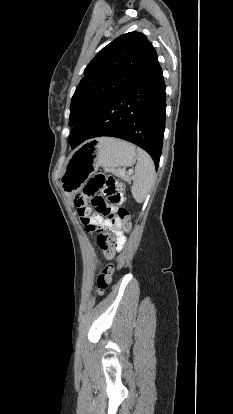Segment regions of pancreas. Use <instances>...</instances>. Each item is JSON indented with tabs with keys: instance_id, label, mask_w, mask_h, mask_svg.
<instances>
[{
	"instance_id": "1",
	"label": "pancreas",
	"mask_w": 233,
	"mask_h": 414,
	"mask_svg": "<svg viewBox=\"0 0 233 414\" xmlns=\"http://www.w3.org/2000/svg\"><path fill=\"white\" fill-rule=\"evenodd\" d=\"M118 177H121L122 179L128 181L129 177L125 175V173H122L120 170H116L114 172Z\"/></svg>"
}]
</instances>
